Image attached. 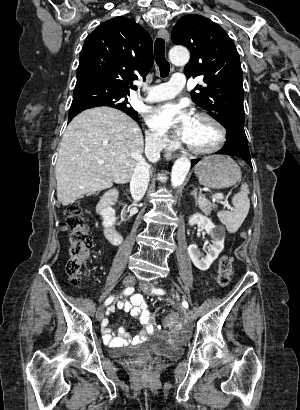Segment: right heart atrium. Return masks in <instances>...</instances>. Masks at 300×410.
<instances>
[{
    "mask_svg": "<svg viewBox=\"0 0 300 410\" xmlns=\"http://www.w3.org/2000/svg\"><path fill=\"white\" fill-rule=\"evenodd\" d=\"M146 145L150 151L159 152L168 150L175 144L164 133L150 128L146 131Z\"/></svg>",
    "mask_w": 300,
    "mask_h": 410,
    "instance_id": "right-heart-atrium-1",
    "label": "right heart atrium"
}]
</instances>
